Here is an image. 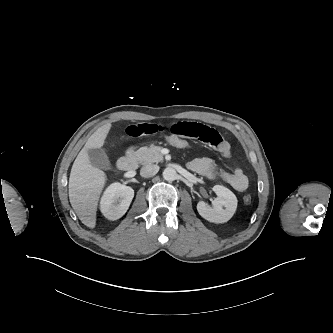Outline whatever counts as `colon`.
<instances>
[{
	"label": "colon",
	"mask_w": 333,
	"mask_h": 333,
	"mask_svg": "<svg viewBox=\"0 0 333 333\" xmlns=\"http://www.w3.org/2000/svg\"><path fill=\"white\" fill-rule=\"evenodd\" d=\"M162 138L168 145L177 150H189L193 146V141L191 139L179 135L165 134ZM243 200L246 204H250L252 202V197L247 194L243 197Z\"/></svg>",
	"instance_id": "obj_1"
}]
</instances>
